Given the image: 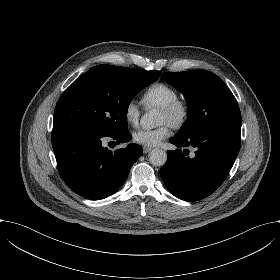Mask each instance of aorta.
Returning a JSON list of instances; mask_svg holds the SVG:
<instances>
[{
    "label": "aorta",
    "mask_w": 280,
    "mask_h": 280,
    "mask_svg": "<svg viewBox=\"0 0 280 280\" xmlns=\"http://www.w3.org/2000/svg\"><path fill=\"white\" fill-rule=\"evenodd\" d=\"M140 124L146 130L155 128L158 124V111L155 109L145 113L140 119ZM166 161L167 153L162 149L154 148L149 153V162L154 166H163Z\"/></svg>",
    "instance_id": "aorta-1"
}]
</instances>
